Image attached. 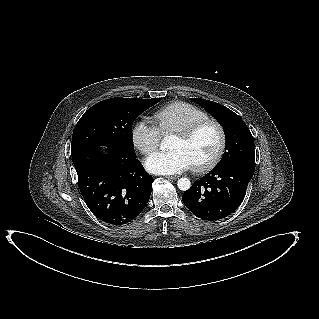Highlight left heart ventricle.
Listing matches in <instances>:
<instances>
[{"label":"left heart ventricle","mask_w":319,"mask_h":319,"mask_svg":"<svg viewBox=\"0 0 319 319\" xmlns=\"http://www.w3.org/2000/svg\"><path fill=\"white\" fill-rule=\"evenodd\" d=\"M218 145V134L214 127L207 126L197 132L191 139L183 140L174 136L169 149H180L190 159L191 164L203 163L215 153Z\"/></svg>","instance_id":"obj_1"}]
</instances>
